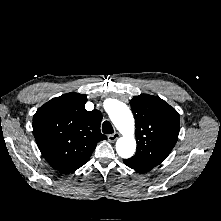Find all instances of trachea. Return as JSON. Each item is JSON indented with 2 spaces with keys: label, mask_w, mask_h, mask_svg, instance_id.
I'll use <instances>...</instances> for the list:
<instances>
[{
  "label": "trachea",
  "mask_w": 221,
  "mask_h": 221,
  "mask_svg": "<svg viewBox=\"0 0 221 221\" xmlns=\"http://www.w3.org/2000/svg\"><path fill=\"white\" fill-rule=\"evenodd\" d=\"M102 132L105 134L114 133V129L109 121H104V123L102 125Z\"/></svg>",
  "instance_id": "1"
}]
</instances>
